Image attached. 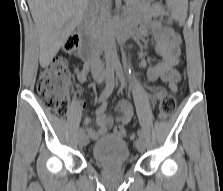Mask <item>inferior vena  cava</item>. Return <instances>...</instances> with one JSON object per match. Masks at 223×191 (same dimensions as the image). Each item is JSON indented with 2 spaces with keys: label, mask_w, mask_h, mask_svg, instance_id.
Returning a JSON list of instances; mask_svg holds the SVG:
<instances>
[{
  "label": "inferior vena cava",
  "mask_w": 223,
  "mask_h": 191,
  "mask_svg": "<svg viewBox=\"0 0 223 191\" xmlns=\"http://www.w3.org/2000/svg\"><path fill=\"white\" fill-rule=\"evenodd\" d=\"M102 70H103L102 63L100 61V58L97 57L94 63V67H93V73L99 74Z\"/></svg>",
  "instance_id": "602c4592"
}]
</instances>
